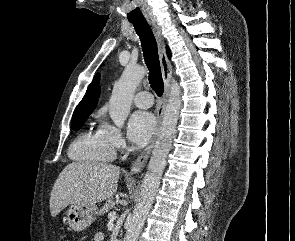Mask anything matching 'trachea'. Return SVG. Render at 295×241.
<instances>
[{
  "label": "trachea",
  "instance_id": "trachea-1",
  "mask_svg": "<svg viewBox=\"0 0 295 241\" xmlns=\"http://www.w3.org/2000/svg\"><path fill=\"white\" fill-rule=\"evenodd\" d=\"M141 40L145 63L149 69V83L158 96L164 92L157 42L146 20L131 21Z\"/></svg>",
  "mask_w": 295,
  "mask_h": 241
}]
</instances>
